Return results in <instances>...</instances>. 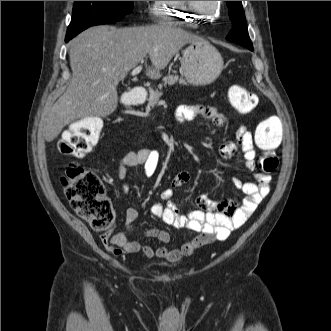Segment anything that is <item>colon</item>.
Wrapping results in <instances>:
<instances>
[{
	"instance_id": "1",
	"label": "colon",
	"mask_w": 331,
	"mask_h": 331,
	"mask_svg": "<svg viewBox=\"0 0 331 331\" xmlns=\"http://www.w3.org/2000/svg\"><path fill=\"white\" fill-rule=\"evenodd\" d=\"M230 104L238 112L246 113L256 105V97L242 86L233 85L228 91ZM283 121L277 116L263 120L257 127L255 141L267 150L258 160V168L264 174L274 172L278 157L272 152L282 141ZM102 121L89 117L78 120L66 130L58 144L62 154L83 158L98 143ZM66 197L72 209L90 225L101 231L109 230L115 222V212L105 194L100 178L91 170L73 162L61 177Z\"/></svg>"
}]
</instances>
